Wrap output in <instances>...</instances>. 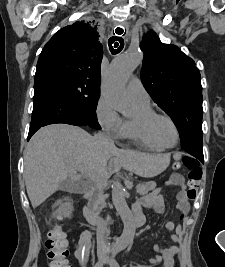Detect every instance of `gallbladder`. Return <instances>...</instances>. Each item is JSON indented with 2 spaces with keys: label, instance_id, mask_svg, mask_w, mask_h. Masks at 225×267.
Listing matches in <instances>:
<instances>
[{
  "label": "gallbladder",
  "instance_id": "gallbladder-1",
  "mask_svg": "<svg viewBox=\"0 0 225 267\" xmlns=\"http://www.w3.org/2000/svg\"><path fill=\"white\" fill-rule=\"evenodd\" d=\"M58 189L62 191H67V192H78L79 191V188L76 182H74L70 178H67L66 180L60 182L58 185Z\"/></svg>",
  "mask_w": 225,
  "mask_h": 267
}]
</instances>
